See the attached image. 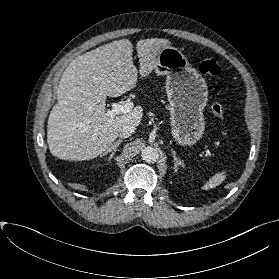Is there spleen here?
Segmentation results:
<instances>
[{
    "label": "spleen",
    "instance_id": "spleen-1",
    "mask_svg": "<svg viewBox=\"0 0 279 279\" xmlns=\"http://www.w3.org/2000/svg\"><path fill=\"white\" fill-rule=\"evenodd\" d=\"M225 177L226 176L224 175V173L214 175L212 179H210L209 182L204 185V189H210L218 186L225 180Z\"/></svg>",
    "mask_w": 279,
    "mask_h": 279
}]
</instances>
